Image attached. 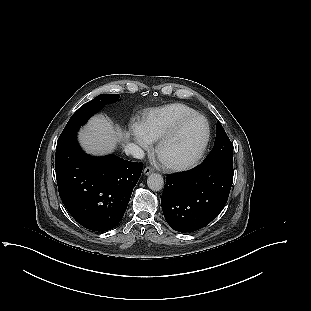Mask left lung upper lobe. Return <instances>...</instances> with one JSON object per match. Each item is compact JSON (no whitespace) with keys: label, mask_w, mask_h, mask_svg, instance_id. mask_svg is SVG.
<instances>
[{"label":"left lung upper lobe","mask_w":311,"mask_h":311,"mask_svg":"<svg viewBox=\"0 0 311 311\" xmlns=\"http://www.w3.org/2000/svg\"><path fill=\"white\" fill-rule=\"evenodd\" d=\"M204 163H223L233 165V145L220 122L216 126L214 147Z\"/></svg>","instance_id":"obj_1"}]
</instances>
